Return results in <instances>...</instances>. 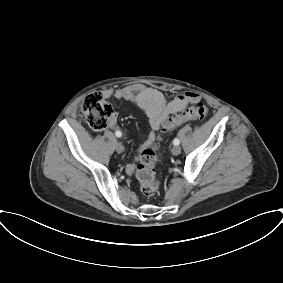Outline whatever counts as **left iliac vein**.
I'll return each mask as SVG.
<instances>
[{
    "label": "left iliac vein",
    "mask_w": 283,
    "mask_h": 283,
    "mask_svg": "<svg viewBox=\"0 0 283 283\" xmlns=\"http://www.w3.org/2000/svg\"><path fill=\"white\" fill-rule=\"evenodd\" d=\"M180 153H181V147L178 145H175L172 148V154L176 156V155H179Z\"/></svg>",
    "instance_id": "obj_1"
}]
</instances>
